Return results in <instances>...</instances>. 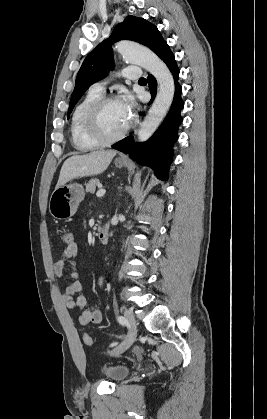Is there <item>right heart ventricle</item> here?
Returning <instances> with one entry per match:
<instances>
[{"label": "right heart ventricle", "mask_w": 267, "mask_h": 419, "mask_svg": "<svg viewBox=\"0 0 267 419\" xmlns=\"http://www.w3.org/2000/svg\"><path fill=\"white\" fill-rule=\"evenodd\" d=\"M100 97L102 93L94 89L89 90L79 101L71 116V140L74 148L79 152H88L101 146L100 143L92 139L85 128V116L89 107Z\"/></svg>", "instance_id": "1"}]
</instances>
